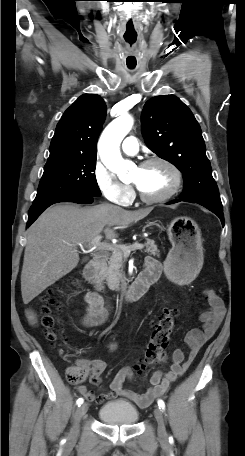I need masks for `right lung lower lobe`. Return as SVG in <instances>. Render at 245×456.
Segmentation results:
<instances>
[{"label":"right lung lower lobe","instance_id":"98d812e1","mask_svg":"<svg viewBox=\"0 0 245 456\" xmlns=\"http://www.w3.org/2000/svg\"><path fill=\"white\" fill-rule=\"evenodd\" d=\"M59 202H74V203H92L93 196L84 195V196H68L62 197L55 200H50L44 203L32 205L29 211L27 227H29L37 218L38 216L50 205L59 203Z\"/></svg>","mask_w":245,"mask_h":456}]
</instances>
